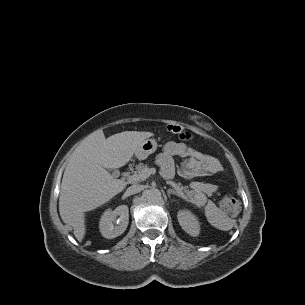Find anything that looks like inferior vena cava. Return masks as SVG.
I'll list each match as a JSON object with an SVG mask.
<instances>
[{"mask_svg": "<svg viewBox=\"0 0 305 305\" xmlns=\"http://www.w3.org/2000/svg\"><path fill=\"white\" fill-rule=\"evenodd\" d=\"M143 190V186L142 185H139V184H134L130 187L127 188L126 192H125V195L126 196H130V195H133V194H136V193H139Z\"/></svg>", "mask_w": 305, "mask_h": 305, "instance_id": "1", "label": "inferior vena cava"}]
</instances>
